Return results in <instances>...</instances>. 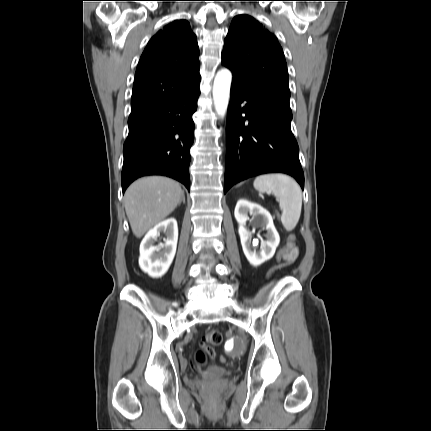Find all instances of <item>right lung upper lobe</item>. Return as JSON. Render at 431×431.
<instances>
[{
	"instance_id": "cb5924a9",
	"label": "right lung upper lobe",
	"mask_w": 431,
	"mask_h": 431,
	"mask_svg": "<svg viewBox=\"0 0 431 431\" xmlns=\"http://www.w3.org/2000/svg\"><path fill=\"white\" fill-rule=\"evenodd\" d=\"M199 48L186 20L158 31L137 66L131 113L168 102L200 81Z\"/></svg>"
}]
</instances>
